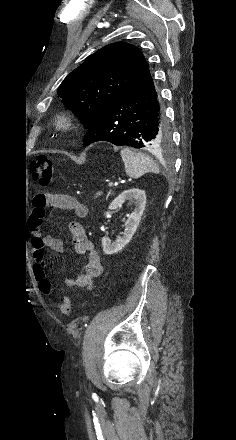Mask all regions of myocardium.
Wrapping results in <instances>:
<instances>
[{"instance_id":"obj_1","label":"myocardium","mask_w":236,"mask_h":440,"mask_svg":"<svg viewBox=\"0 0 236 440\" xmlns=\"http://www.w3.org/2000/svg\"><path fill=\"white\" fill-rule=\"evenodd\" d=\"M54 126L58 132H69L75 127L74 118L68 113H60L54 118Z\"/></svg>"}]
</instances>
